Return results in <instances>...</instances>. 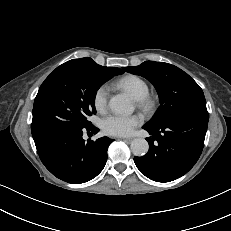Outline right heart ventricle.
<instances>
[{"label": "right heart ventricle", "mask_w": 231, "mask_h": 231, "mask_svg": "<svg viewBox=\"0 0 231 231\" xmlns=\"http://www.w3.org/2000/svg\"><path fill=\"white\" fill-rule=\"evenodd\" d=\"M114 85L128 91L136 100L148 95L149 85L140 76L128 74L119 78Z\"/></svg>", "instance_id": "e07e8e85"}]
</instances>
